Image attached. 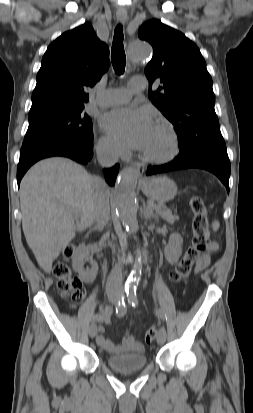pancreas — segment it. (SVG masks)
<instances>
[{"label": "pancreas", "instance_id": "cf45deb5", "mask_svg": "<svg viewBox=\"0 0 253 413\" xmlns=\"http://www.w3.org/2000/svg\"><path fill=\"white\" fill-rule=\"evenodd\" d=\"M154 206V209L156 210L157 214L161 216L164 220H166L168 223L172 224L174 223V221L179 219L178 216L173 215L172 211L166 208V206H164L163 204H156Z\"/></svg>", "mask_w": 253, "mask_h": 413}]
</instances>
